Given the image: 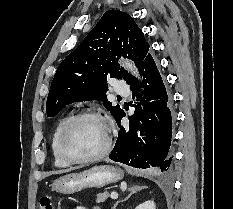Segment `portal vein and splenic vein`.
Returning <instances> with one entry per match:
<instances>
[{
    "label": "portal vein and splenic vein",
    "instance_id": "18ae733b",
    "mask_svg": "<svg viewBox=\"0 0 233 209\" xmlns=\"http://www.w3.org/2000/svg\"><path fill=\"white\" fill-rule=\"evenodd\" d=\"M110 197L112 199H117L118 198V194L116 192H112L111 195H110Z\"/></svg>",
    "mask_w": 233,
    "mask_h": 209
}]
</instances>
